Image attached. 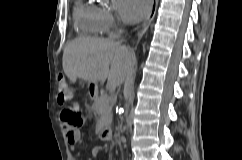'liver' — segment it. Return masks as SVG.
I'll return each instance as SVG.
<instances>
[{
  "instance_id": "6515ba94",
  "label": "liver",
  "mask_w": 242,
  "mask_h": 160,
  "mask_svg": "<svg viewBox=\"0 0 242 160\" xmlns=\"http://www.w3.org/2000/svg\"><path fill=\"white\" fill-rule=\"evenodd\" d=\"M124 50L132 49L109 39L78 37L64 48V73L72 83L77 78L93 83L107 79V86L114 91L131 73L120 66ZM134 63H129L131 71Z\"/></svg>"
}]
</instances>
